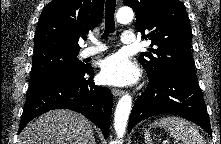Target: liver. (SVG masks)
I'll return each mask as SVG.
<instances>
[{
  "label": "liver",
  "mask_w": 221,
  "mask_h": 144,
  "mask_svg": "<svg viewBox=\"0 0 221 144\" xmlns=\"http://www.w3.org/2000/svg\"><path fill=\"white\" fill-rule=\"evenodd\" d=\"M93 139V125L86 117L58 109L28 123L19 135V144H92Z\"/></svg>",
  "instance_id": "6515ba94"
}]
</instances>
